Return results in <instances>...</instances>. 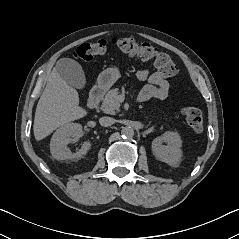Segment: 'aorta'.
Instances as JSON below:
<instances>
[{"mask_svg": "<svg viewBox=\"0 0 239 239\" xmlns=\"http://www.w3.org/2000/svg\"><path fill=\"white\" fill-rule=\"evenodd\" d=\"M125 138H132L134 136V129L132 127H123L121 131Z\"/></svg>", "mask_w": 239, "mask_h": 239, "instance_id": "obj_1", "label": "aorta"}]
</instances>
